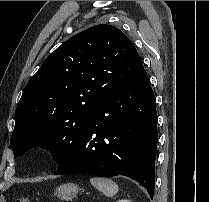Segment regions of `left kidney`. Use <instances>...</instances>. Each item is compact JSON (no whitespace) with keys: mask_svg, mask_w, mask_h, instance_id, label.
<instances>
[{"mask_svg":"<svg viewBox=\"0 0 209 202\" xmlns=\"http://www.w3.org/2000/svg\"><path fill=\"white\" fill-rule=\"evenodd\" d=\"M117 202H131V201L127 199H122V200H118Z\"/></svg>","mask_w":209,"mask_h":202,"instance_id":"left-kidney-1","label":"left kidney"}]
</instances>
